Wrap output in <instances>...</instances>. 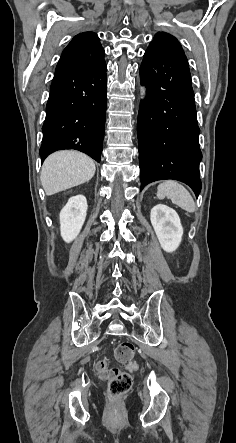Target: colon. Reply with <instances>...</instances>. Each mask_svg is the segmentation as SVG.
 I'll list each match as a JSON object with an SVG mask.
<instances>
[{
	"mask_svg": "<svg viewBox=\"0 0 236 443\" xmlns=\"http://www.w3.org/2000/svg\"><path fill=\"white\" fill-rule=\"evenodd\" d=\"M115 357L120 363L135 367V347L129 341L120 342L115 349ZM100 377L107 381L108 391L112 398L117 399L127 393L132 387V376L117 368H109L107 361L102 360L97 365Z\"/></svg>",
	"mask_w": 236,
	"mask_h": 443,
	"instance_id": "obj_1",
	"label": "colon"
}]
</instances>
